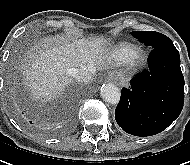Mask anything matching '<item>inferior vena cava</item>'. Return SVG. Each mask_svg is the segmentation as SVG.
I'll return each mask as SVG.
<instances>
[{"label": "inferior vena cava", "mask_w": 190, "mask_h": 165, "mask_svg": "<svg viewBox=\"0 0 190 165\" xmlns=\"http://www.w3.org/2000/svg\"><path fill=\"white\" fill-rule=\"evenodd\" d=\"M70 74L78 81V82H88L92 77V69L81 67V68H72L70 69Z\"/></svg>", "instance_id": "inferior-vena-cava-1"}]
</instances>
